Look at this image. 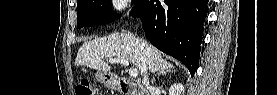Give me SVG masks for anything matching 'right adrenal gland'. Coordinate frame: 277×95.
<instances>
[{
    "label": "right adrenal gland",
    "mask_w": 277,
    "mask_h": 95,
    "mask_svg": "<svg viewBox=\"0 0 277 95\" xmlns=\"http://www.w3.org/2000/svg\"><path fill=\"white\" fill-rule=\"evenodd\" d=\"M166 70H162V71H160V72H156L154 75H153V78H152V80H151V83L152 84H154L155 83V79H156V77H158V76H160V75H164V74H166Z\"/></svg>",
    "instance_id": "right-adrenal-gland-1"
}]
</instances>
